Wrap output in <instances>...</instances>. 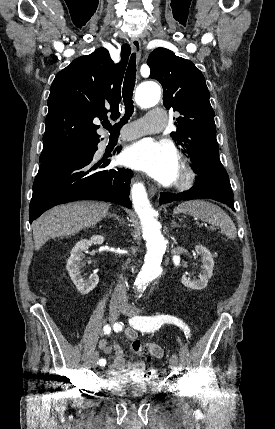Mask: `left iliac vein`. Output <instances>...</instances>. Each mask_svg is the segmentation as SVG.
I'll list each match as a JSON object with an SVG mask.
<instances>
[{"label":"left iliac vein","mask_w":275,"mask_h":429,"mask_svg":"<svg viewBox=\"0 0 275 429\" xmlns=\"http://www.w3.org/2000/svg\"><path fill=\"white\" fill-rule=\"evenodd\" d=\"M140 310L136 307V306H131V305H125L122 308V313L128 315V316H136L137 314H139ZM178 356L176 354H173L170 357L169 360V364L172 370H176L178 367Z\"/></svg>","instance_id":"4c4485c4"}]
</instances>
